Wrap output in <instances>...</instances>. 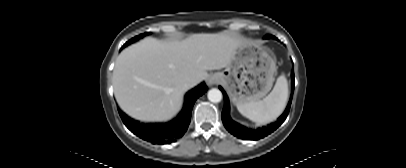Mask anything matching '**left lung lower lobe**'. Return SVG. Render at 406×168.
<instances>
[{
	"label": "left lung lower lobe",
	"instance_id": "obj_1",
	"mask_svg": "<svg viewBox=\"0 0 406 168\" xmlns=\"http://www.w3.org/2000/svg\"><path fill=\"white\" fill-rule=\"evenodd\" d=\"M220 90L222 91L224 95V108L221 114L223 124L225 128L234 136H237L240 139L244 140H258L261 139L270 133H272L274 130H276L286 119L289 113V109L291 106L292 102V96H293V91H294V71H292V93H291V98L289 100L288 106L284 113L277 119V122L269 125L268 127H262L258 128L257 130H251L248 129L247 127H244L237 122L233 121L229 115V100L228 97L225 93V91L220 87Z\"/></svg>",
	"mask_w": 406,
	"mask_h": 168
}]
</instances>
